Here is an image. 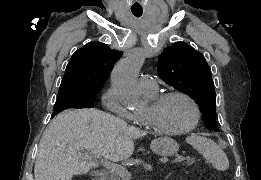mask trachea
<instances>
[{"mask_svg":"<svg viewBox=\"0 0 261 180\" xmlns=\"http://www.w3.org/2000/svg\"><path fill=\"white\" fill-rule=\"evenodd\" d=\"M131 11H132V13H133V15H134L135 17H141V15H142V13H143L142 10H131Z\"/></svg>","mask_w":261,"mask_h":180,"instance_id":"trachea-1","label":"trachea"}]
</instances>
